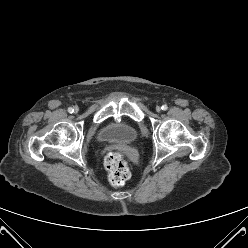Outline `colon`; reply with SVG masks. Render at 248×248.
<instances>
[{"label":"colon","instance_id":"1","mask_svg":"<svg viewBox=\"0 0 248 248\" xmlns=\"http://www.w3.org/2000/svg\"><path fill=\"white\" fill-rule=\"evenodd\" d=\"M104 163L109 173V181L113 186H121L129 179L130 171L121 152H109Z\"/></svg>","mask_w":248,"mask_h":248}]
</instances>
